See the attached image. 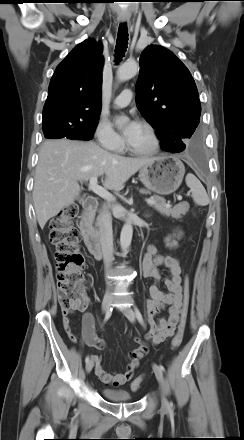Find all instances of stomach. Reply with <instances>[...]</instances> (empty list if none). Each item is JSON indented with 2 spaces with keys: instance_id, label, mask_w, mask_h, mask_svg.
Instances as JSON below:
<instances>
[{
  "instance_id": "obj_1",
  "label": "stomach",
  "mask_w": 244,
  "mask_h": 440,
  "mask_svg": "<svg viewBox=\"0 0 244 440\" xmlns=\"http://www.w3.org/2000/svg\"><path fill=\"white\" fill-rule=\"evenodd\" d=\"M185 174L184 164L173 155H161L139 171L144 186L161 195L175 192Z\"/></svg>"
}]
</instances>
